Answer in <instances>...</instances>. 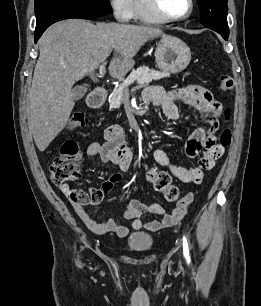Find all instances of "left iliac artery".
I'll use <instances>...</instances> for the list:
<instances>
[{
    "instance_id": "obj_1",
    "label": "left iliac artery",
    "mask_w": 261,
    "mask_h": 306,
    "mask_svg": "<svg viewBox=\"0 0 261 306\" xmlns=\"http://www.w3.org/2000/svg\"><path fill=\"white\" fill-rule=\"evenodd\" d=\"M183 253L187 260H190L189 256V248H188V241L185 236H183Z\"/></svg>"
}]
</instances>
